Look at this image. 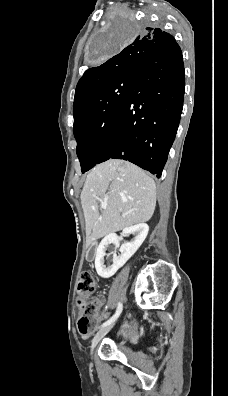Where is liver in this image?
Instances as JSON below:
<instances>
[{
    "mask_svg": "<svg viewBox=\"0 0 228 396\" xmlns=\"http://www.w3.org/2000/svg\"><path fill=\"white\" fill-rule=\"evenodd\" d=\"M80 198L90 246L108 234L149 221L156 206V186L138 166L110 159L88 173ZM101 204L107 208L102 210Z\"/></svg>",
    "mask_w": 228,
    "mask_h": 396,
    "instance_id": "obj_1",
    "label": "liver"
}]
</instances>
